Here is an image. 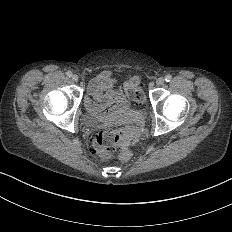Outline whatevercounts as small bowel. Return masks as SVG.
<instances>
[{
  "label": "small bowel",
  "instance_id": "1",
  "mask_svg": "<svg viewBox=\"0 0 232 232\" xmlns=\"http://www.w3.org/2000/svg\"><path fill=\"white\" fill-rule=\"evenodd\" d=\"M104 86L109 87L106 95H103L102 89ZM103 99L109 101V113L120 109L125 103L119 90V82L113 76L109 69L100 70L90 81L88 86V97L86 98L85 105L87 115L91 119H97L99 102Z\"/></svg>",
  "mask_w": 232,
  "mask_h": 232
}]
</instances>
